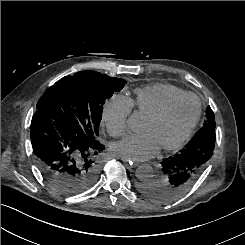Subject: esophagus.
<instances>
[{"label":"esophagus","instance_id":"esophagus-1","mask_svg":"<svg viewBox=\"0 0 245 245\" xmlns=\"http://www.w3.org/2000/svg\"><path fill=\"white\" fill-rule=\"evenodd\" d=\"M121 160L123 162H126L128 164V166L131 168H135L139 165V162L132 160V159H127V158L121 157Z\"/></svg>","mask_w":245,"mask_h":245}]
</instances>
